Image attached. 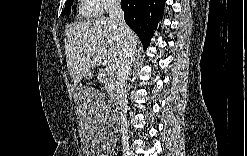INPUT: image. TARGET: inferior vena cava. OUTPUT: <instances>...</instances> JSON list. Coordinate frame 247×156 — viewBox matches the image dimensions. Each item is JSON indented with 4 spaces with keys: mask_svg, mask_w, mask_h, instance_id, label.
Masks as SVG:
<instances>
[{
    "mask_svg": "<svg viewBox=\"0 0 247 156\" xmlns=\"http://www.w3.org/2000/svg\"><path fill=\"white\" fill-rule=\"evenodd\" d=\"M109 16L120 31L124 46L121 61L118 66L116 90L113 99L116 110L120 115L121 131L125 133L127 113L126 82L136 55V44L132 39L131 29L125 23L124 12L121 8L120 1L113 0L110 2Z\"/></svg>",
    "mask_w": 247,
    "mask_h": 156,
    "instance_id": "602c4592",
    "label": "inferior vena cava"
}]
</instances>
